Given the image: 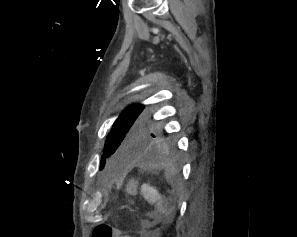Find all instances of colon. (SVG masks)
<instances>
[{
    "mask_svg": "<svg viewBox=\"0 0 297 237\" xmlns=\"http://www.w3.org/2000/svg\"><path fill=\"white\" fill-rule=\"evenodd\" d=\"M92 237H131L122 234L117 228L110 224H100L93 230Z\"/></svg>",
    "mask_w": 297,
    "mask_h": 237,
    "instance_id": "obj_1",
    "label": "colon"
}]
</instances>
